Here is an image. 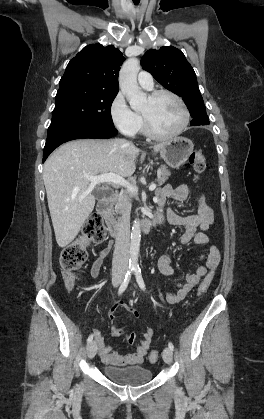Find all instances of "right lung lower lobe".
I'll return each instance as SVG.
<instances>
[{
    "instance_id": "98d812e1",
    "label": "right lung lower lobe",
    "mask_w": 264,
    "mask_h": 419,
    "mask_svg": "<svg viewBox=\"0 0 264 419\" xmlns=\"http://www.w3.org/2000/svg\"><path fill=\"white\" fill-rule=\"evenodd\" d=\"M117 133L118 131L114 127H103L95 125L72 127L50 139H47L43 152V162L55 148L67 141L81 138L108 139L115 136Z\"/></svg>"
}]
</instances>
